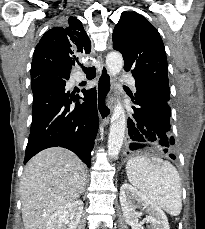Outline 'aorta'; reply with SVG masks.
Masks as SVG:
<instances>
[{"instance_id": "762f6f07", "label": "aorta", "mask_w": 205, "mask_h": 229, "mask_svg": "<svg viewBox=\"0 0 205 229\" xmlns=\"http://www.w3.org/2000/svg\"><path fill=\"white\" fill-rule=\"evenodd\" d=\"M124 65L123 57L119 52L112 51L106 56V66L109 74L116 77ZM126 128L125 110L117 100L111 116V125L108 136V154L110 158H116L123 145Z\"/></svg>"}]
</instances>
